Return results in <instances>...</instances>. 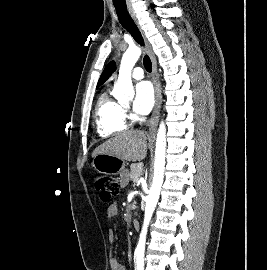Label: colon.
I'll list each match as a JSON object with an SVG mask.
<instances>
[{"mask_svg": "<svg viewBox=\"0 0 267 270\" xmlns=\"http://www.w3.org/2000/svg\"><path fill=\"white\" fill-rule=\"evenodd\" d=\"M94 185L99 193L100 200L105 203L117 196L121 189V185L116 179L103 174L95 177Z\"/></svg>", "mask_w": 267, "mask_h": 270, "instance_id": "5ec220e1", "label": "colon"}]
</instances>
